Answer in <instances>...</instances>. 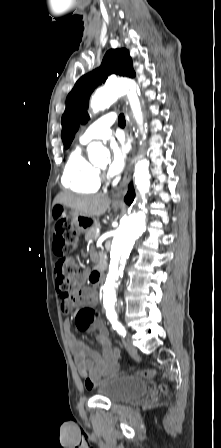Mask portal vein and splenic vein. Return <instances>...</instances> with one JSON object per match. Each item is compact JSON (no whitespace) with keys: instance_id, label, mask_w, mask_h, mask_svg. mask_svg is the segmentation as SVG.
I'll list each match as a JSON object with an SVG mask.
<instances>
[{"instance_id":"obj_1","label":"portal vein and splenic vein","mask_w":221,"mask_h":448,"mask_svg":"<svg viewBox=\"0 0 221 448\" xmlns=\"http://www.w3.org/2000/svg\"><path fill=\"white\" fill-rule=\"evenodd\" d=\"M99 236H100V233L97 231L96 235H95V238L97 239Z\"/></svg>"}]
</instances>
